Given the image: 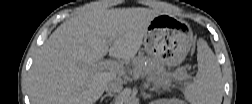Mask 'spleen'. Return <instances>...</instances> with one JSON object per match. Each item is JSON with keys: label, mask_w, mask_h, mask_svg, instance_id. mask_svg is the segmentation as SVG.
<instances>
[{"label": "spleen", "mask_w": 252, "mask_h": 104, "mask_svg": "<svg viewBox=\"0 0 252 104\" xmlns=\"http://www.w3.org/2000/svg\"><path fill=\"white\" fill-rule=\"evenodd\" d=\"M198 71L192 83L184 90L191 104H220L223 96L222 73L213 51L205 40L197 42Z\"/></svg>", "instance_id": "1"}]
</instances>
